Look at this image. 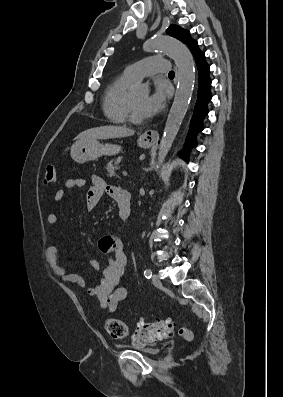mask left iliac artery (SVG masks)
<instances>
[{
  "label": "left iliac artery",
  "instance_id": "44dca946",
  "mask_svg": "<svg viewBox=\"0 0 283 397\" xmlns=\"http://www.w3.org/2000/svg\"><path fill=\"white\" fill-rule=\"evenodd\" d=\"M144 276H145L147 279H150V278L152 277V271H151L150 269H146V270L144 271Z\"/></svg>",
  "mask_w": 283,
  "mask_h": 397
}]
</instances>
